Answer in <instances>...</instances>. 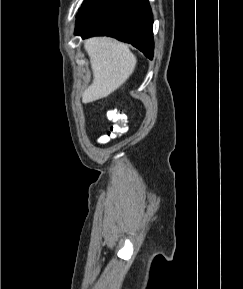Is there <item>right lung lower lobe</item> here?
Segmentation results:
<instances>
[{
    "mask_svg": "<svg viewBox=\"0 0 243 289\" xmlns=\"http://www.w3.org/2000/svg\"><path fill=\"white\" fill-rule=\"evenodd\" d=\"M75 34L114 37L153 58V16L148 0H85L77 14Z\"/></svg>",
    "mask_w": 243,
    "mask_h": 289,
    "instance_id": "98d812e1",
    "label": "right lung lower lobe"
}]
</instances>
